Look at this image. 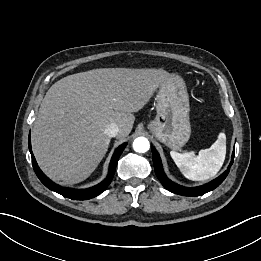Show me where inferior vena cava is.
<instances>
[{"label": "inferior vena cava", "mask_w": 261, "mask_h": 261, "mask_svg": "<svg viewBox=\"0 0 261 261\" xmlns=\"http://www.w3.org/2000/svg\"><path fill=\"white\" fill-rule=\"evenodd\" d=\"M118 132H119V127L114 123L108 125L107 128L105 129V134L109 137H115L118 134Z\"/></svg>", "instance_id": "1"}]
</instances>
